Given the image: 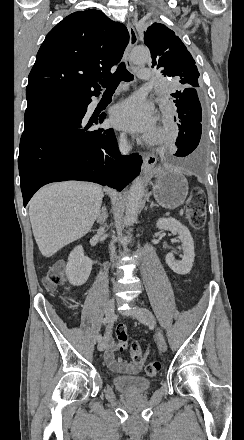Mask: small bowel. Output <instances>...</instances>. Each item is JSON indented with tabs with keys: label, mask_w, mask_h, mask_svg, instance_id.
<instances>
[{
	"label": "small bowel",
	"mask_w": 244,
	"mask_h": 440,
	"mask_svg": "<svg viewBox=\"0 0 244 440\" xmlns=\"http://www.w3.org/2000/svg\"><path fill=\"white\" fill-rule=\"evenodd\" d=\"M175 288L178 292L180 291V287L177 283H175ZM115 351H116V344L111 340L108 341L104 352V359L106 365L113 372L126 376H135L136 374L139 373L143 363H131V361L128 362L121 358L116 360Z\"/></svg>",
	"instance_id": "c3829d8e"
}]
</instances>
